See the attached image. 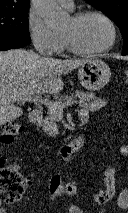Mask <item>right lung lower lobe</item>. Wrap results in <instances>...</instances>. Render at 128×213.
I'll list each match as a JSON object with an SVG mask.
<instances>
[{
	"label": "right lung lower lobe",
	"mask_w": 128,
	"mask_h": 213,
	"mask_svg": "<svg viewBox=\"0 0 128 213\" xmlns=\"http://www.w3.org/2000/svg\"><path fill=\"white\" fill-rule=\"evenodd\" d=\"M26 45L27 43L19 41H0V51H5L13 48H22Z\"/></svg>",
	"instance_id": "right-lung-lower-lobe-1"
}]
</instances>
